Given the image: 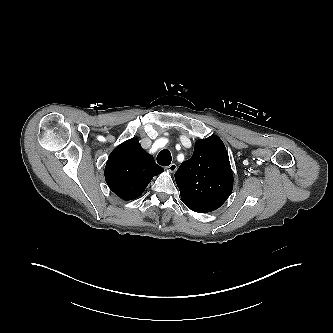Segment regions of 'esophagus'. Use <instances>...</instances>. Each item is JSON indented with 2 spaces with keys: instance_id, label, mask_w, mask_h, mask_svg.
<instances>
[{
  "instance_id": "esophagus-1",
  "label": "esophagus",
  "mask_w": 333,
  "mask_h": 333,
  "mask_svg": "<svg viewBox=\"0 0 333 333\" xmlns=\"http://www.w3.org/2000/svg\"><path fill=\"white\" fill-rule=\"evenodd\" d=\"M177 169V165L175 163L170 164L168 167H166V170L170 173H174Z\"/></svg>"
}]
</instances>
